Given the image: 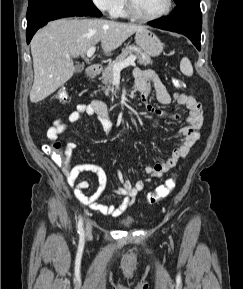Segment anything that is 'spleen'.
I'll use <instances>...</instances> for the list:
<instances>
[{
	"label": "spleen",
	"mask_w": 243,
	"mask_h": 289,
	"mask_svg": "<svg viewBox=\"0 0 243 289\" xmlns=\"http://www.w3.org/2000/svg\"><path fill=\"white\" fill-rule=\"evenodd\" d=\"M180 70L186 76L193 75V67L190 60L187 57L182 58L180 62Z\"/></svg>",
	"instance_id": "spleen-1"
}]
</instances>
